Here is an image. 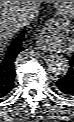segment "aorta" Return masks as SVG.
Masks as SVG:
<instances>
[{
  "label": "aorta",
  "mask_w": 74,
  "mask_h": 122,
  "mask_svg": "<svg viewBox=\"0 0 74 122\" xmlns=\"http://www.w3.org/2000/svg\"><path fill=\"white\" fill-rule=\"evenodd\" d=\"M47 69L54 75H65L69 70V61L62 55H52L47 59Z\"/></svg>",
  "instance_id": "aorta-1"
}]
</instances>
